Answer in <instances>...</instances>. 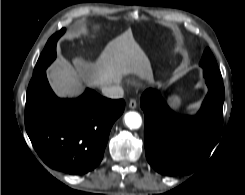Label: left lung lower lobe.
<instances>
[{"mask_svg": "<svg viewBox=\"0 0 245 195\" xmlns=\"http://www.w3.org/2000/svg\"><path fill=\"white\" fill-rule=\"evenodd\" d=\"M208 93L195 117H178L158 91L141 97L146 158L160 174L186 175L198 169L218 142L223 127L224 85L206 79Z\"/></svg>", "mask_w": 245, "mask_h": 195, "instance_id": "1", "label": "left lung lower lobe"}]
</instances>
